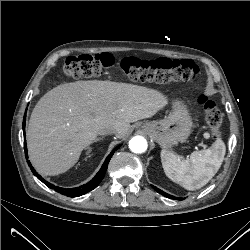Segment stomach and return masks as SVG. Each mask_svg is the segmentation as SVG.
<instances>
[{"label": "stomach", "instance_id": "1", "mask_svg": "<svg viewBox=\"0 0 250 250\" xmlns=\"http://www.w3.org/2000/svg\"><path fill=\"white\" fill-rule=\"evenodd\" d=\"M191 128L192 119L182 101L174 102L172 112L164 119L142 125V129L162 148L184 142L190 135Z\"/></svg>", "mask_w": 250, "mask_h": 250}]
</instances>
